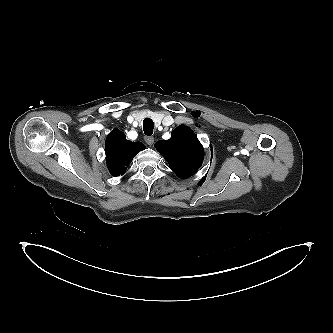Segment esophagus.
<instances>
[{
	"label": "esophagus",
	"instance_id": "obj_1",
	"mask_svg": "<svg viewBox=\"0 0 333 333\" xmlns=\"http://www.w3.org/2000/svg\"><path fill=\"white\" fill-rule=\"evenodd\" d=\"M154 141H155L154 137H151V136H147V137H145V142H146L149 146L153 145Z\"/></svg>",
	"mask_w": 333,
	"mask_h": 333
}]
</instances>
